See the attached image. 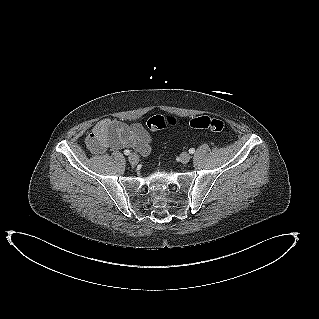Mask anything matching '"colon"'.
<instances>
[{"mask_svg": "<svg viewBox=\"0 0 319 319\" xmlns=\"http://www.w3.org/2000/svg\"><path fill=\"white\" fill-rule=\"evenodd\" d=\"M178 123L174 116L155 115L147 120V127L152 131L162 130ZM190 126L194 129H205L215 133H225V124L216 118L199 116L190 120Z\"/></svg>", "mask_w": 319, "mask_h": 319, "instance_id": "5ec220e1", "label": "colon"}]
</instances>
